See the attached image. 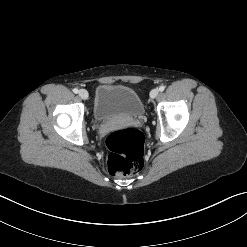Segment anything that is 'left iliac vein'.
I'll list each match as a JSON object with an SVG mask.
<instances>
[{
	"label": "left iliac vein",
	"instance_id": "4c4485c4",
	"mask_svg": "<svg viewBox=\"0 0 247 247\" xmlns=\"http://www.w3.org/2000/svg\"><path fill=\"white\" fill-rule=\"evenodd\" d=\"M158 93H159V90L157 88L152 89L150 92V97L154 99L158 96Z\"/></svg>",
	"mask_w": 247,
	"mask_h": 247
}]
</instances>
